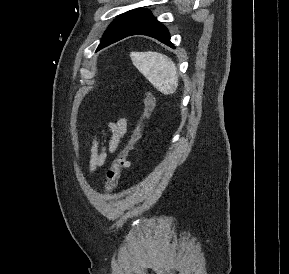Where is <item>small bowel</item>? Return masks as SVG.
<instances>
[{"label": "small bowel", "mask_w": 289, "mask_h": 274, "mask_svg": "<svg viewBox=\"0 0 289 274\" xmlns=\"http://www.w3.org/2000/svg\"><path fill=\"white\" fill-rule=\"evenodd\" d=\"M110 137L107 141L100 142L93 136L90 147L89 170L91 173L101 169L106 164L108 153L113 154L118 149L127 131L126 118H119L108 124Z\"/></svg>", "instance_id": "obj_1"}]
</instances>
